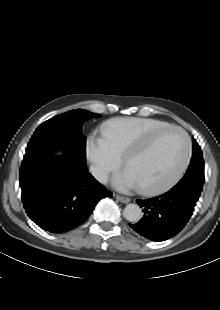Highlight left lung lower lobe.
<instances>
[{"label":"left lung lower lobe","mask_w":220,"mask_h":310,"mask_svg":"<svg viewBox=\"0 0 220 310\" xmlns=\"http://www.w3.org/2000/svg\"><path fill=\"white\" fill-rule=\"evenodd\" d=\"M201 191L194 185L178 183L169 191L150 199H138L144 215L129 224L140 235L157 242L177 235L190 220Z\"/></svg>","instance_id":"1"}]
</instances>
